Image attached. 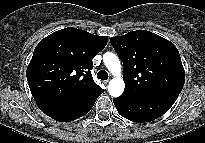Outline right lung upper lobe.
<instances>
[{
    "instance_id": "right-lung-upper-lobe-1",
    "label": "right lung upper lobe",
    "mask_w": 205,
    "mask_h": 143,
    "mask_svg": "<svg viewBox=\"0 0 205 143\" xmlns=\"http://www.w3.org/2000/svg\"><path fill=\"white\" fill-rule=\"evenodd\" d=\"M107 37L68 27L45 37L27 67V80L37 104L68 106L102 89L91 75L92 59Z\"/></svg>"
}]
</instances>
